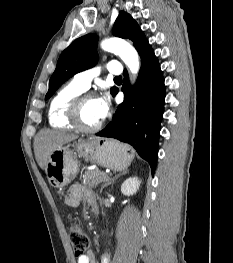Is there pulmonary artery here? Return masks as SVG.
<instances>
[{"mask_svg":"<svg viewBox=\"0 0 233 263\" xmlns=\"http://www.w3.org/2000/svg\"><path fill=\"white\" fill-rule=\"evenodd\" d=\"M106 68L110 74L119 76L122 72L120 63L117 60H111L107 63ZM100 73L99 67H94L77 73L73 81L84 90L90 87L91 81Z\"/></svg>","mask_w":233,"mask_h":263,"instance_id":"pulmonary-artery-1","label":"pulmonary artery"}]
</instances>
